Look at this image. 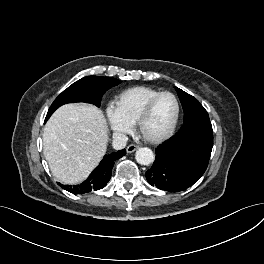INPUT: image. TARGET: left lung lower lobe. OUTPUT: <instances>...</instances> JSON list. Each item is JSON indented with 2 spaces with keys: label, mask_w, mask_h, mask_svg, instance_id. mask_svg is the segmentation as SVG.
<instances>
[{
  "label": "left lung lower lobe",
  "mask_w": 264,
  "mask_h": 264,
  "mask_svg": "<svg viewBox=\"0 0 264 264\" xmlns=\"http://www.w3.org/2000/svg\"><path fill=\"white\" fill-rule=\"evenodd\" d=\"M213 147L210 122L179 131L156 150L147 181L159 189L179 192L192 186L204 174Z\"/></svg>",
  "instance_id": "1"
}]
</instances>
